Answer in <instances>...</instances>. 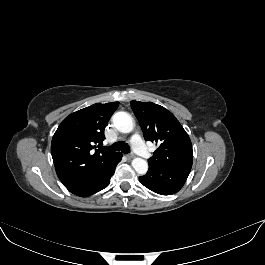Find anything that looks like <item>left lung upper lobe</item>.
<instances>
[{
  "mask_svg": "<svg viewBox=\"0 0 265 265\" xmlns=\"http://www.w3.org/2000/svg\"><path fill=\"white\" fill-rule=\"evenodd\" d=\"M131 107L140 122L145 140L159 145L148 160L149 166L191 169V140L175 116L152 102L133 100Z\"/></svg>",
  "mask_w": 265,
  "mask_h": 265,
  "instance_id": "5c2ea615",
  "label": "left lung upper lobe"
}]
</instances>
